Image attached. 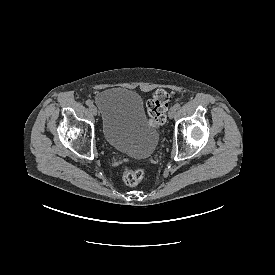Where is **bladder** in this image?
<instances>
[{
  "label": "bladder",
  "mask_w": 275,
  "mask_h": 275,
  "mask_svg": "<svg viewBox=\"0 0 275 275\" xmlns=\"http://www.w3.org/2000/svg\"><path fill=\"white\" fill-rule=\"evenodd\" d=\"M95 103L101 110L104 139L112 148L135 158L153 154L158 134L146 120L134 90L108 89L96 96Z\"/></svg>",
  "instance_id": "31cf9c89"
}]
</instances>
